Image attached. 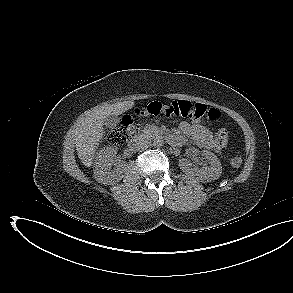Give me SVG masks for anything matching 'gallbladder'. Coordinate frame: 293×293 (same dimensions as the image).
Listing matches in <instances>:
<instances>
[{
  "label": "gallbladder",
  "instance_id": "1",
  "mask_svg": "<svg viewBox=\"0 0 293 293\" xmlns=\"http://www.w3.org/2000/svg\"><path fill=\"white\" fill-rule=\"evenodd\" d=\"M118 122H119V117L118 116L110 115L105 119L104 124L107 127L114 128V127H116Z\"/></svg>",
  "mask_w": 293,
  "mask_h": 293
}]
</instances>
